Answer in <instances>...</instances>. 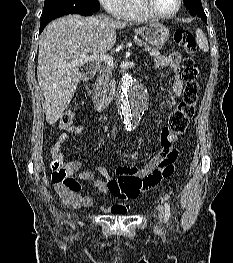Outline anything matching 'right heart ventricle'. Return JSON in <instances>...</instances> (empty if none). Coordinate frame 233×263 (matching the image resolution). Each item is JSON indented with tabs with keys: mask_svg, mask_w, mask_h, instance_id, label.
Returning a JSON list of instances; mask_svg holds the SVG:
<instances>
[{
	"mask_svg": "<svg viewBox=\"0 0 233 263\" xmlns=\"http://www.w3.org/2000/svg\"><path fill=\"white\" fill-rule=\"evenodd\" d=\"M116 15L120 18L130 20H149L152 18L141 7L139 0H123Z\"/></svg>",
	"mask_w": 233,
	"mask_h": 263,
	"instance_id": "right-heart-ventricle-1",
	"label": "right heart ventricle"
}]
</instances>
